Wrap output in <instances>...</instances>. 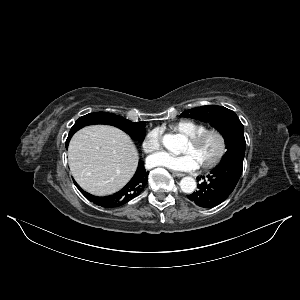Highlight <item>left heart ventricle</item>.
I'll return each instance as SVG.
<instances>
[{
	"label": "left heart ventricle",
	"instance_id": "b2bd125f",
	"mask_svg": "<svg viewBox=\"0 0 300 300\" xmlns=\"http://www.w3.org/2000/svg\"><path fill=\"white\" fill-rule=\"evenodd\" d=\"M219 150V138L216 134L211 133L203 138L196 145L185 143L182 153H190L197 161L198 165L212 160Z\"/></svg>",
	"mask_w": 300,
	"mask_h": 300
}]
</instances>
